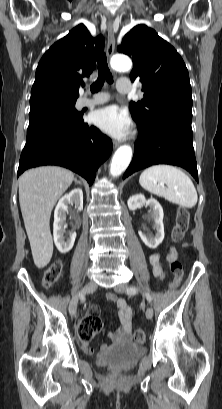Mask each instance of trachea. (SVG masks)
<instances>
[{
  "mask_svg": "<svg viewBox=\"0 0 222 409\" xmlns=\"http://www.w3.org/2000/svg\"><path fill=\"white\" fill-rule=\"evenodd\" d=\"M98 78L97 80L91 85L90 89L92 93L98 92L101 87L103 86L105 80L112 84L113 77L108 68L107 57L105 53L100 54L98 60Z\"/></svg>",
  "mask_w": 222,
  "mask_h": 409,
  "instance_id": "3493384b",
  "label": "trachea"
}]
</instances>
